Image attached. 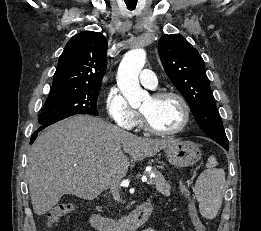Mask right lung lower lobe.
I'll return each instance as SVG.
<instances>
[{"instance_id": "1", "label": "right lung lower lobe", "mask_w": 261, "mask_h": 231, "mask_svg": "<svg viewBox=\"0 0 261 231\" xmlns=\"http://www.w3.org/2000/svg\"><path fill=\"white\" fill-rule=\"evenodd\" d=\"M58 121H59V120H58ZM55 122H57V121H55ZM55 122H51V123L42 125L39 129H37V130L32 134V136H31V140H30L31 142H30V144H32V143L34 142V140H35L36 137H37V133H38L39 131H41L42 129L46 128L47 126H49V125H51V124H53V123H55Z\"/></svg>"}]
</instances>
